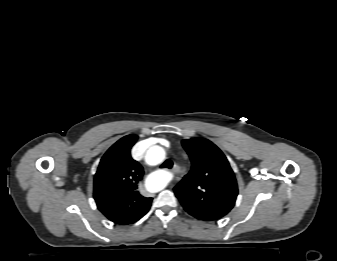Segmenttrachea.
I'll use <instances>...</instances> for the list:
<instances>
[{
    "instance_id": "trachea-1",
    "label": "trachea",
    "mask_w": 337,
    "mask_h": 261,
    "mask_svg": "<svg viewBox=\"0 0 337 261\" xmlns=\"http://www.w3.org/2000/svg\"><path fill=\"white\" fill-rule=\"evenodd\" d=\"M173 166V162L171 160H166L162 165H161V168H172Z\"/></svg>"
}]
</instances>
